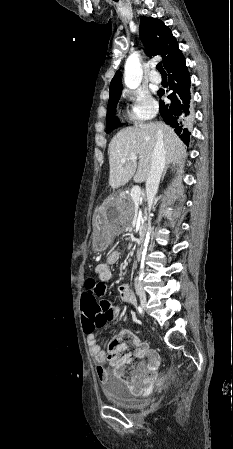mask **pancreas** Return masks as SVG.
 Listing matches in <instances>:
<instances>
[{"mask_svg": "<svg viewBox=\"0 0 233 449\" xmlns=\"http://www.w3.org/2000/svg\"><path fill=\"white\" fill-rule=\"evenodd\" d=\"M119 203L123 218L124 219L132 218L135 214V206L132 198L129 195H124L120 197Z\"/></svg>", "mask_w": 233, "mask_h": 449, "instance_id": "pancreas-1", "label": "pancreas"}]
</instances>
